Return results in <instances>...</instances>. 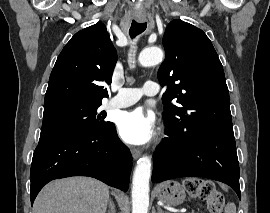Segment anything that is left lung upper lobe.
Wrapping results in <instances>:
<instances>
[{
    "label": "left lung upper lobe",
    "instance_id": "left-lung-upper-lobe-1",
    "mask_svg": "<svg viewBox=\"0 0 270 213\" xmlns=\"http://www.w3.org/2000/svg\"><path fill=\"white\" fill-rule=\"evenodd\" d=\"M158 70L168 130L179 137L193 129L233 131L229 91L219 57L206 34L182 20L171 21ZM174 100L176 105L170 102Z\"/></svg>",
    "mask_w": 270,
    "mask_h": 213
}]
</instances>
